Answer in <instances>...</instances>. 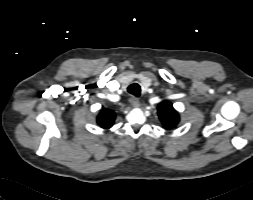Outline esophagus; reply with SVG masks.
<instances>
[{
	"mask_svg": "<svg viewBox=\"0 0 253 200\" xmlns=\"http://www.w3.org/2000/svg\"><path fill=\"white\" fill-rule=\"evenodd\" d=\"M130 103L132 104L133 107H139L140 105V101L137 97H131Z\"/></svg>",
	"mask_w": 253,
	"mask_h": 200,
	"instance_id": "esophagus-1",
	"label": "esophagus"
}]
</instances>
